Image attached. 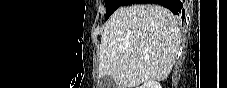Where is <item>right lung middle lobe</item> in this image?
<instances>
[{
	"label": "right lung middle lobe",
	"instance_id": "1",
	"mask_svg": "<svg viewBox=\"0 0 227 88\" xmlns=\"http://www.w3.org/2000/svg\"><path fill=\"white\" fill-rule=\"evenodd\" d=\"M132 0H106V20L109 18V16L120 6L131 4Z\"/></svg>",
	"mask_w": 227,
	"mask_h": 88
}]
</instances>
